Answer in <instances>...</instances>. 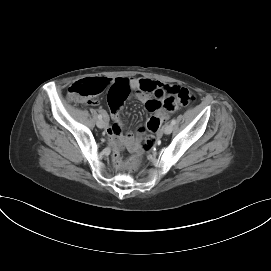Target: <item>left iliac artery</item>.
Returning a JSON list of instances; mask_svg holds the SVG:
<instances>
[{"label": "left iliac artery", "instance_id": "44dca946", "mask_svg": "<svg viewBox=\"0 0 271 271\" xmlns=\"http://www.w3.org/2000/svg\"><path fill=\"white\" fill-rule=\"evenodd\" d=\"M176 124V120L175 119H172L171 120V125H175Z\"/></svg>", "mask_w": 271, "mask_h": 271}]
</instances>
